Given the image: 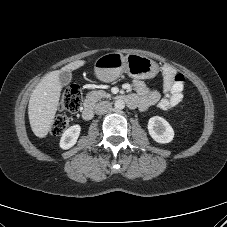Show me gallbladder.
<instances>
[{"label": "gallbladder", "mask_w": 227, "mask_h": 227, "mask_svg": "<svg viewBox=\"0 0 227 227\" xmlns=\"http://www.w3.org/2000/svg\"><path fill=\"white\" fill-rule=\"evenodd\" d=\"M72 74L70 71H61L59 74V80L62 86H65L71 82Z\"/></svg>", "instance_id": "gallbladder-1"}]
</instances>
